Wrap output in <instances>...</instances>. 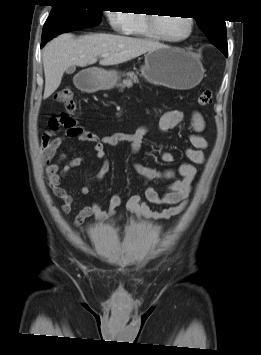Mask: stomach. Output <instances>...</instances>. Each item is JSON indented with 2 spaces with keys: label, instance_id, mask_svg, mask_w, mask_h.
<instances>
[{
  "label": "stomach",
  "instance_id": "0dacf381",
  "mask_svg": "<svg viewBox=\"0 0 261 355\" xmlns=\"http://www.w3.org/2000/svg\"><path fill=\"white\" fill-rule=\"evenodd\" d=\"M141 73L152 84L184 90L200 83L204 68L191 53L163 46L145 55ZM119 78L116 70L90 69L83 86L89 90L111 89Z\"/></svg>",
  "mask_w": 261,
  "mask_h": 355
}]
</instances>
